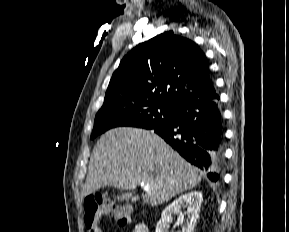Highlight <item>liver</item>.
I'll return each instance as SVG.
<instances>
[{"mask_svg":"<svg viewBox=\"0 0 289 232\" xmlns=\"http://www.w3.org/2000/svg\"><path fill=\"white\" fill-rule=\"evenodd\" d=\"M202 174L153 131L120 127L106 132L94 147L83 187L88 196L104 186L133 190L141 183L150 190L143 202L157 206L191 190Z\"/></svg>","mask_w":289,"mask_h":232,"instance_id":"liver-1","label":"liver"}]
</instances>
